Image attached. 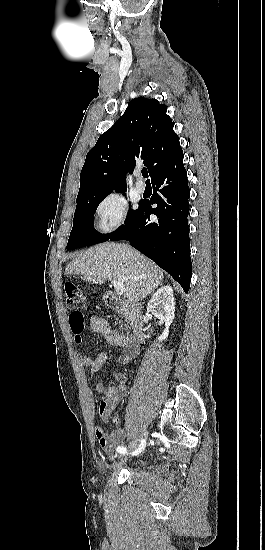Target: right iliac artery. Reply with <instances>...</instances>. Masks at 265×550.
<instances>
[{"instance_id": "82829eb1", "label": "right iliac artery", "mask_w": 265, "mask_h": 550, "mask_svg": "<svg viewBox=\"0 0 265 550\" xmlns=\"http://www.w3.org/2000/svg\"><path fill=\"white\" fill-rule=\"evenodd\" d=\"M145 445H146V441H145L144 439H142V440H141L140 446L138 447L137 450H135V451L132 453V455H137V454L141 453V452L144 450ZM117 451H118L119 453H122V454H125V453L127 452L126 448L123 447V446H119V447L117 448Z\"/></svg>"}]
</instances>
